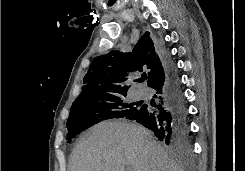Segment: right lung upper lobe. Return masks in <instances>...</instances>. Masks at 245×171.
Returning a JSON list of instances; mask_svg holds the SVG:
<instances>
[{"label": "right lung upper lobe", "instance_id": "1", "mask_svg": "<svg viewBox=\"0 0 245 171\" xmlns=\"http://www.w3.org/2000/svg\"><path fill=\"white\" fill-rule=\"evenodd\" d=\"M148 69V86L165 73L160 51L154 46L146 32L130 53L112 50L95 57L84 77L82 93L75 101L100 99L108 96L127 94L132 71Z\"/></svg>", "mask_w": 245, "mask_h": 171}]
</instances>
